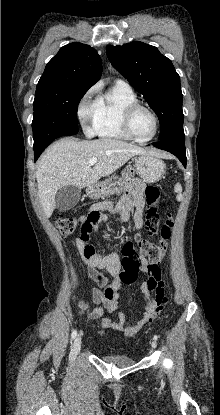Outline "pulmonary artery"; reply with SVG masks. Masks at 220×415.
<instances>
[{
  "instance_id": "1",
  "label": "pulmonary artery",
  "mask_w": 220,
  "mask_h": 415,
  "mask_svg": "<svg viewBox=\"0 0 220 415\" xmlns=\"http://www.w3.org/2000/svg\"><path fill=\"white\" fill-rule=\"evenodd\" d=\"M115 86L121 89H131L130 85L126 81L121 79L116 80Z\"/></svg>"
}]
</instances>
